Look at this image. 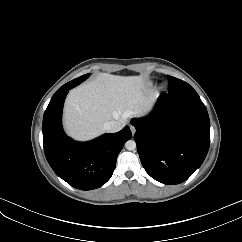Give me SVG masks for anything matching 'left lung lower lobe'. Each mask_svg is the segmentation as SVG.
<instances>
[{"label":"left lung lower lobe","instance_id":"obj_1","mask_svg":"<svg viewBox=\"0 0 242 242\" xmlns=\"http://www.w3.org/2000/svg\"><path fill=\"white\" fill-rule=\"evenodd\" d=\"M131 123L141 163L161 183L184 182L207 155L210 121L196 92L162 93L150 115Z\"/></svg>","mask_w":242,"mask_h":242}]
</instances>
